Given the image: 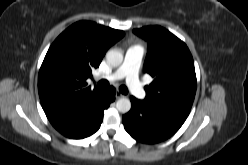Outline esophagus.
Masks as SVG:
<instances>
[{"instance_id": "1", "label": "esophagus", "mask_w": 248, "mask_h": 165, "mask_svg": "<svg viewBox=\"0 0 248 165\" xmlns=\"http://www.w3.org/2000/svg\"><path fill=\"white\" fill-rule=\"evenodd\" d=\"M115 97H116V99H119V98L124 97V95L122 93H120L119 91H117Z\"/></svg>"}]
</instances>
